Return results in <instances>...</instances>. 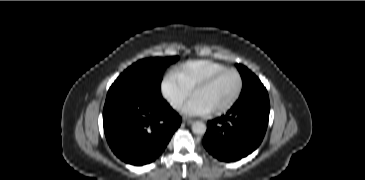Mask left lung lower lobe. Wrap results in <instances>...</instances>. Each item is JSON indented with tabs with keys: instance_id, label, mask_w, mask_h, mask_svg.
<instances>
[{
	"instance_id": "1",
	"label": "left lung lower lobe",
	"mask_w": 365,
	"mask_h": 180,
	"mask_svg": "<svg viewBox=\"0 0 365 180\" xmlns=\"http://www.w3.org/2000/svg\"><path fill=\"white\" fill-rule=\"evenodd\" d=\"M269 112L265 88L240 96L226 115L208 122L204 147L221 161H236L247 156L260 145Z\"/></svg>"
}]
</instances>
